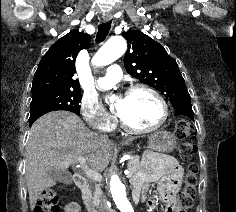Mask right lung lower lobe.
<instances>
[{
  "mask_svg": "<svg viewBox=\"0 0 236 212\" xmlns=\"http://www.w3.org/2000/svg\"><path fill=\"white\" fill-rule=\"evenodd\" d=\"M39 117H40V116L35 117V118L29 120V125L31 126V125L34 123V121H35L37 118H39Z\"/></svg>",
  "mask_w": 236,
  "mask_h": 212,
  "instance_id": "1",
  "label": "right lung lower lobe"
}]
</instances>
